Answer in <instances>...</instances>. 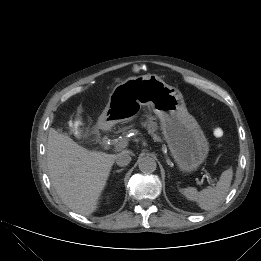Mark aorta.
<instances>
[{
  "mask_svg": "<svg viewBox=\"0 0 261 261\" xmlns=\"http://www.w3.org/2000/svg\"><path fill=\"white\" fill-rule=\"evenodd\" d=\"M139 170L143 173H152L156 170L157 164L154 158L150 156H144L138 160Z\"/></svg>",
  "mask_w": 261,
  "mask_h": 261,
  "instance_id": "aorta-1",
  "label": "aorta"
}]
</instances>
